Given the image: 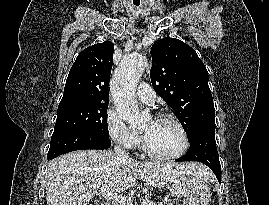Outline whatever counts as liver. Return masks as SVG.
Returning a JSON list of instances; mask_svg holds the SVG:
<instances>
[{
    "label": "liver",
    "instance_id": "liver-1",
    "mask_svg": "<svg viewBox=\"0 0 269 205\" xmlns=\"http://www.w3.org/2000/svg\"><path fill=\"white\" fill-rule=\"evenodd\" d=\"M192 174L213 180L206 166L196 162H137L111 151L79 150L62 155L49 164L47 205H87L102 185L119 194L136 185L138 179L153 187L173 183L180 175Z\"/></svg>",
    "mask_w": 269,
    "mask_h": 205
}]
</instances>
